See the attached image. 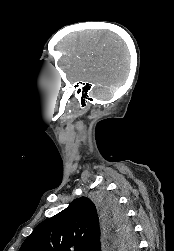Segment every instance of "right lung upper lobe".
I'll use <instances>...</instances> for the list:
<instances>
[{"mask_svg":"<svg viewBox=\"0 0 174 251\" xmlns=\"http://www.w3.org/2000/svg\"><path fill=\"white\" fill-rule=\"evenodd\" d=\"M103 226L98 207L89 198L80 197L40 223L19 251H101Z\"/></svg>","mask_w":174,"mask_h":251,"instance_id":"cb5924a9","label":"right lung upper lobe"}]
</instances>
